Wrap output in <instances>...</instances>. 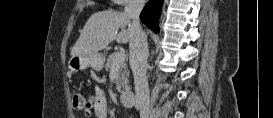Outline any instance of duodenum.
<instances>
[{
	"instance_id": "obj_1",
	"label": "duodenum",
	"mask_w": 273,
	"mask_h": 118,
	"mask_svg": "<svg viewBox=\"0 0 273 118\" xmlns=\"http://www.w3.org/2000/svg\"><path fill=\"white\" fill-rule=\"evenodd\" d=\"M120 101L125 107H134L136 105V96L133 91L126 90L120 94Z\"/></svg>"
}]
</instances>
